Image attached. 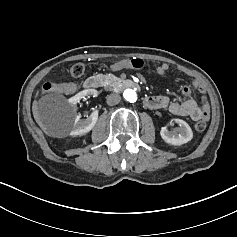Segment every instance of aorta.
<instances>
[{"mask_svg": "<svg viewBox=\"0 0 237 237\" xmlns=\"http://www.w3.org/2000/svg\"><path fill=\"white\" fill-rule=\"evenodd\" d=\"M124 98L130 103H135L137 101V93L133 89H126L123 94Z\"/></svg>", "mask_w": 237, "mask_h": 237, "instance_id": "1", "label": "aorta"}]
</instances>
